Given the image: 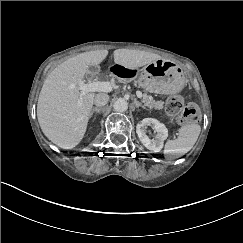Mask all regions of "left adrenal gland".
Instances as JSON below:
<instances>
[{
    "label": "left adrenal gland",
    "mask_w": 243,
    "mask_h": 243,
    "mask_svg": "<svg viewBox=\"0 0 243 243\" xmlns=\"http://www.w3.org/2000/svg\"><path fill=\"white\" fill-rule=\"evenodd\" d=\"M133 102H134V105H135L136 109L139 108V107H141L143 109H146L145 106L143 104H141L137 99H134Z\"/></svg>",
    "instance_id": "1"
}]
</instances>
